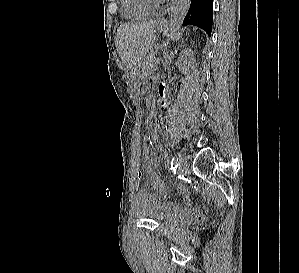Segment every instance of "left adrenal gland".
<instances>
[{
    "instance_id": "a2214340",
    "label": "left adrenal gland",
    "mask_w": 299,
    "mask_h": 273,
    "mask_svg": "<svg viewBox=\"0 0 299 273\" xmlns=\"http://www.w3.org/2000/svg\"><path fill=\"white\" fill-rule=\"evenodd\" d=\"M176 53V50H175V52H171L170 54H166L165 55V61H164V67L165 68H168L169 67V65L171 64V62H172V57L174 56V54Z\"/></svg>"
}]
</instances>
